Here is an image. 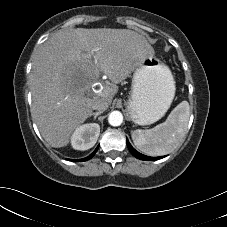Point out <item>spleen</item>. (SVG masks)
Masks as SVG:
<instances>
[{"instance_id":"3e777b00","label":"spleen","mask_w":227,"mask_h":227,"mask_svg":"<svg viewBox=\"0 0 227 227\" xmlns=\"http://www.w3.org/2000/svg\"><path fill=\"white\" fill-rule=\"evenodd\" d=\"M190 117L187 101L179 103L169 114L165 122L152 129H137L132 132L134 145L150 156L170 153L183 140Z\"/></svg>"}]
</instances>
